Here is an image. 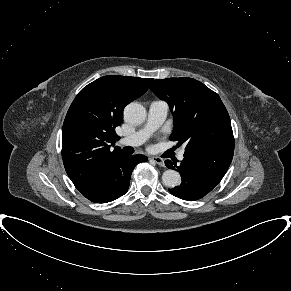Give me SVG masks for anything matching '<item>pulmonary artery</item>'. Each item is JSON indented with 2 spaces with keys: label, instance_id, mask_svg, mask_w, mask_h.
Masks as SVG:
<instances>
[{
  "label": "pulmonary artery",
  "instance_id": "obj_1",
  "mask_svg": "<svg viewBox=\"0 0 291 291\" xmlns=\"http://www.w3.org/2000/svg\"><path fill=\"white\" fill-rule=\"evenodd\" d=\"M168 111L169 106L165 101L163 100L152 101L149 105L148 116L145 126L141 130L129 136L119 139L118 143L120 145L133 147L143 144L152 134V132L163 124L167 117ZM184 153H185L184 149L180 150L178 154V158L180 160L184 158Z\"/></svg>",
  "mask_w": 291,
  "mask_h": 291
}]
</instances>
